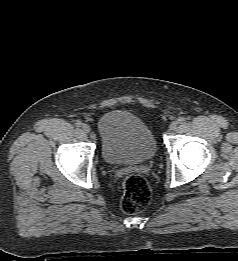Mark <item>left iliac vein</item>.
<instances>
[{
    "label": "left iliac vein",
    "instance_id": "obj_1",
    "mask_svg": "<svg viewBox=\"0 0 238 261\" xmlns=\"http://www.w3.org/2000/svg\"><path fill=\"white\" fill-rule=\"evenodd\" d=\"M178 126V122L177 121H173L170 125H169V130H175Z\"/></svg>",
    "mask_w": 238,
    "mask_h": 261
}]
</instances>
